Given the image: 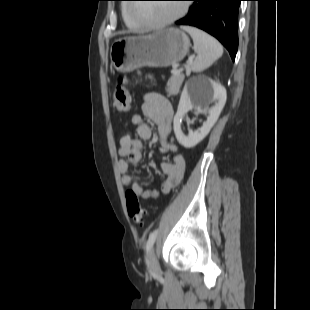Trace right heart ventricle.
Wrapping results in <instances>:
<instances>
[{
  "label": "right heart ventricle",
  "instance_id": "e07e8e85",
  "mask_svg": "<svg viewBox=\"0 0 310 310\" xmlns=\"http://www.w3.org/2000/svg\"><path fill=\"white\" fill-rule=\"evenodd\" d=\"M127 10H128V5H126V4L122 5V16H123V20H124L126 26L131 28V29L141 28V26L138 23H136L135 21H133L129 17Z\"/></svg>",
  "mask_w": 310,
  "mask_h": 310
}]
</instances>
